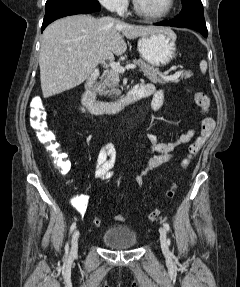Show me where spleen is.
Masks as SVG:
<instances>
[{
    "instance_id": "spleen-1",
    "label": "spleen",
    "mask_w": 240,
    "mask_h": 287,
    "mask_svg": "<svg viewBox=\"0 0 240 287\" xmlns=\"http://www.w3.org/2000/svg\"><path fill=\"white\" fill-rule=\"evenodd\" d=\"M200 69H201V72L204 74L206 73V70H207V62L205 60H202L200 62Z\"/></svg>"
}]
</instances>
